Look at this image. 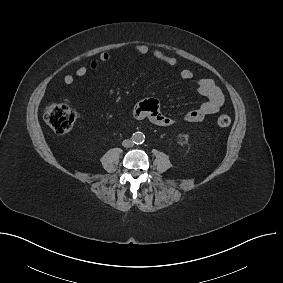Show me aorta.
Instances as JSON below:
<instances>
[{
    "label": "aorta",
    "mask_w": 283,
    "mask_h": 283,
    "mask_svg": "<svg viewBox=\"0 0 283 283\" xmlns=\"http://www.w3.org/2000/svg\"><path fill=\"white\" fill-rule=\"evenodd\" d=\"M145 140V135L142 132H135L132 136V141L137 144L143 143Z\"/></svg>",
    "instance_id": "762f6f07"
}]
</instances>
